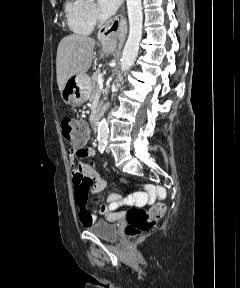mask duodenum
I'll list each match as a JSON object with an SVG mask.
<instances>
[{"instance_id": "410a0bca", "label": "duodenum", "mask_w": 240, "mask_h": 288, "mask_svg": "<svg viewBox=\"0 0 240 288\" xmlns=\"http://www.w3.org/2000/svg\"><path fill=\"white\" fill-rule=\"evenodd\" d=\"M104 109H105V107L98 108V109L95 110V112L93 114L92 124H93V127H94L95 131L97 130L98 123H99V121L101 119V116L103 114Z\"/></svg>"}]
</instances>
